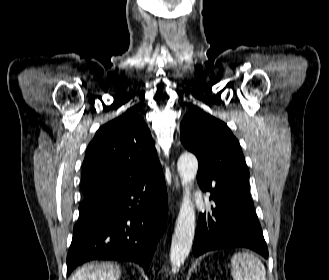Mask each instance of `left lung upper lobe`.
Instances as JSON below:
<instances>
[{
    "mask_svg": "<svg viewBox=\"0 0 329 280\" xmlns=\"http://www.w3.org/2000/svg\"><path fill=\"white\" fill-rule=\"evenodd\" d=\"M181 142L199 161L197 181L211 195L248 186L249 170L238 140L228 126L199 109H193L180 126Z\"/></svg>",
    "mask_w": 329,
    "mask_h": 280,
    "instance_id": "obj_1",
    "label": "left lung upper lobe"
}]
</instances>
